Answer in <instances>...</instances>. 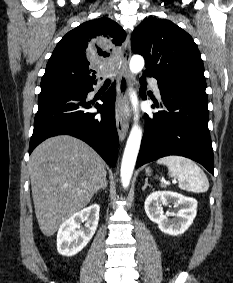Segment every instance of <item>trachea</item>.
Instances as JSON below:
<instances>
[{
  "label": "trachea",
  "instance_id": "trachea-1",
  "mask_svg": "<svg viewBox=\"0 0 233 283\" xmlns=\"http://www.w3.org/2000/svg\"><path fill=\"white\" fill-rule=\"evenodd\" d=\"M111 81H110V79H106V81H105V83H110Z\"/></svg>",
  "mask_w": 233,
  "mask_h": 283
}]
</instances>
